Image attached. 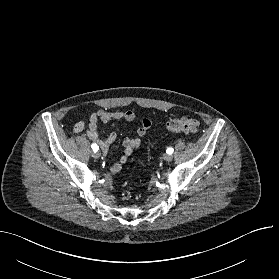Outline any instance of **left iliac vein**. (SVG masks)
Returning <instances> with one entry per match:
<instances>
[{
  "instance_id": "1",
  "label": "left iliac vein",
  "mask_w": 279,
  "mask_h": 279,
  "mask_svg": "<svg viewBox=\"0 0 279 279\" xmlns=\"http://www.w3.org/2000/svg\"><path fill=\"white\" fill-rule=\"evenodd\" d=\"M163 159L167 162L171 161L173 159V156L171 154H165L163 156Z\"/></svg>"
}]
</instances>
